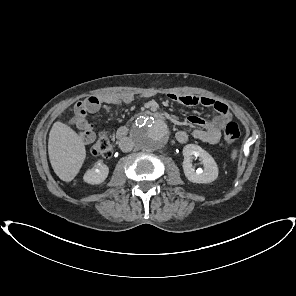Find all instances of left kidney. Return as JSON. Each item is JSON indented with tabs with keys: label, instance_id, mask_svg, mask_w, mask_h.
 <instances>
[{
	"label": "left kidney",
	"instance_id": "obj_1",
	"mask_svg": "<svg viewBox=\"0 0 296 296\" xmlns=\"http://www.w3.org/2000/svg\"><path fill=\"white\" fill-rule=\"evenodd\" d=\"M183 170L186 178L193 183H211L218 177V166L214 158L200 146L188 144L183 148ZM199 157L204 169L195 170L192 160Z\"/></svg>",
	"mask_w": 296,
	"mask_h": 296
}]
</instances>
